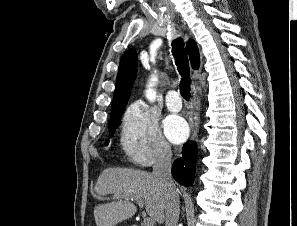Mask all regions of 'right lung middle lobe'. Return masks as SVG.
Listing matches in <instances>:
<instances>
[{"instance_id":"obj_1","label":"right lung middle lobe","mask_w":297,"mask_h":226,"mask_svg":"<svg viewBox=\"0 0 297 226\" xmlns=\"http://www.w3.org/2000/svg\"><path fill=\"white\" fill-rule=\"evenodd\" d=\"M124 109H125V105L117 107V108H112L111 118H110V122H109L110 135H112L114 133L115 129L120 124L121 115H122ZM108 143H109V141L106 142V145Z\"/></svg>"}]
</instances>
